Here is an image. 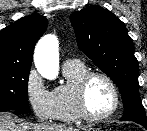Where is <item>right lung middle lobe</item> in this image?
Listing matches in <instances>:
<instances>
[{
  "mask_svg": "<svg viewBox=\"0 0 147 131\" xmlns=\"http://www.w3.org/2000/svg\"><path fill=\"white\" fill-rule=\"evenodd\" d=\"M30 67L0 66V110L28 111Z\"/></svg>",
  "mask_w": 147,
  "mask_h": 131,
  "instance_id": "right-lung-middle-lobe-1",
  "label": "right lung middle lobe"
}]
</instances>
